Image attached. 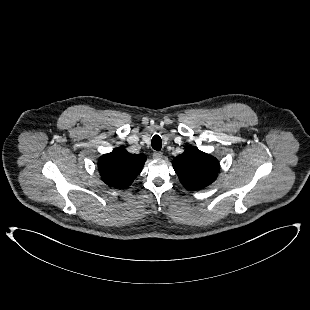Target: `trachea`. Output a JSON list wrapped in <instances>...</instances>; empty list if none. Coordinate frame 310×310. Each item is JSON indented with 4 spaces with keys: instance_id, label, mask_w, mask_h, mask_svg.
<instances>
[{
    "instance_id": "1",
    "label": "trachea",
    "mask_w": 310,
    "mask_h": 310,
    "mask_svg": "<svg viewBox=\"0 0 310 310\" xmlns=\"http://www.w3.org/2000/svg\"><path fill=\"white\" fill-rule=\"evenodd\" d=\"M152 148L156 151H160L162 147V140L159 135H155L151 141Z\"/></svg>"
}]
</instances>
